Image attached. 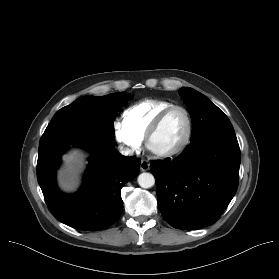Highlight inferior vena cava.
Returning <instances> with one entry per match:
<instances>
[{
    "label": "inferior vena cava",
    "instance_id": "obj_1",
    "mask_svg": "<svg viewBox=\"0 0 279 279\" xmlns=\"http://www.w3.org/2000/svg\"><path fill=\"white\" fill-rule=\"evenodd\" d=\"M120 153L124 156H130L133 154V150L128 148V147H124V146H120Z\"/></svg>",
    "mask_w": 279,
    "mask_h": 279
}]
</instances>
